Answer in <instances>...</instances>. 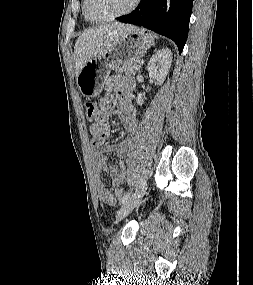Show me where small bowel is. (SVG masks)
I'll use <instances>...</instances> for the list:
<instances>
[{"label": "small bowel", "mask_w": 253, "mask_h": 285, "mask_svg": "<svg viewBox=\"0 0 253 285\" xmlns=\"http://www.w3.org/2000/svg\"><path fill=\"white\" fill-rule=\"evenodd\" d=\"M134 87V80L125 76H111L106 82V90L115 92L117 95L119 106L116 113L121 124L130 135H134L138 131L136 110L132 104ZM110 109V99L103 98L99 103V107H96L95 117L91 119L93 122L90 126V132L92 135L91 147L94 150L96 190L100 200L108 205H114L123 196L117 193V189L125 183L129 166H125L123 163L119 166H111L106 154L115 152L120 159H125L132 151L133 142L131 138H126L118 144L105 145L111 134ZM102 173L109 174L113 184L118 187L114 193L104 185L101 179Z\"/></svg>", "instance_id": "1"}]
</instances>
